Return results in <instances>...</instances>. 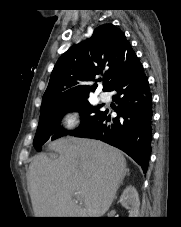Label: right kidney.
I'll return each instance as SVG.
<instances>
[{"mask_svg":"<svg viewBox=\"0 0 181 227\" xmlns=\"http://www.w3.org/2000/svg\"><path fill=\"white\" fill-rule=\"evenodd\" d=\"M120 203L123 207L129 210V217H138L140 200L137 190L134 186H127L121 197Z\"/></svg>","mask_w":181,"mask_h":227,"instance_id":"ca27d5eb","label":"right kidney"}]
</instances>
